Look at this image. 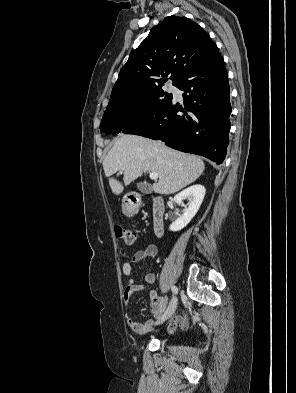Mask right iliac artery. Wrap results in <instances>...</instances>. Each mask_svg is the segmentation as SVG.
Wrapping results in <instances>:
<instances>
[{"label":"right iliac artery","mask_w":296,"mask_h":393,"mask_svg":"<svg viewBox=\"0 0 296 393\" xmlns=\"http://www.w3.org/2000/svg\"><path fill=\"white\" fill-rule=\"evenodd\" d=\"M171 290L173 291V293L177 294L178 293V288L176 286H172Z\"/></svg>","instance_id":"obj_1"}]
</instances>
